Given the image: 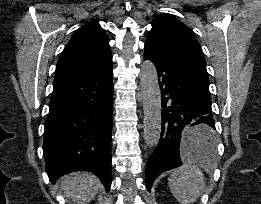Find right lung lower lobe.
<instances>
[{
	"label": "right lung lower lobe",
	"instance_id": "1",
	"mask_svg": "<svg viewBox=\"0 0 261 204\" xmlns=\"http://www.w3.org/2000/svg\"><path fill=\"white\" fill-rule=\"evenodd\" d=\"M112 62L90 73L54 81L45 122L46 172L54 183L80 170L111 186Z\"/></svg>",
	"mask_w": 261,
	"mask_h": 204
}]
</instances>
